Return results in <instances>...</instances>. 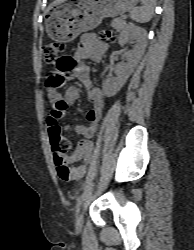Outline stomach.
<instances>
[{"label":"stomach","mask_w":194,"mask_h":250,"mask_svg":"<svg viewBox=\"0 0 194 250\" xmlns=\"http://www.w3.org/2000/svg\"><path fill=\"white\" fill-rule=\"evenodd\" d=\"M139 0H65L52 5L47 14V34L61 43L97 27L103 18L115 17L134 8Z\"/></svg>","instance_id":"1"}]
</instances>
